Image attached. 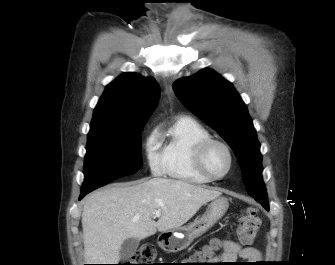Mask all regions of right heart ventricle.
<instances>
[{
	"instance_id": "1",
	"label": "right heart ventricle",
	"mask_w": 335,
	"mask_h": 265,
	"mask_svg": "<svg viewBox=\"0 0 335 265\" xmlns=\"http://www.w3.org/2000/svg\"><path fill=\"white\" fill-rule=\"evenodd\" d=\"M210 137L208 129L195 119L178 118L160 139L165 174L185 183H209L210 180L197 170L194 155L197 146Z\"/></svg>"
}]
</instances>
